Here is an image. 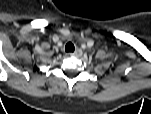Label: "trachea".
<instances>
[{"mask_svg":"<svg viewBox=\"0 0 151 114\" xmlns=\"http://www.w3.org/2000/svg\"><path fill=\"white\" fill-rule=\"evenodd\" d=\"M74 50H75V47H74L73 43L68 42L65 46V51L66 52H74Z\"/></svg>","mask_w":151,"mask_h":114,"instance_id":"trachea-1","label":"trachea"}]
</instances>
